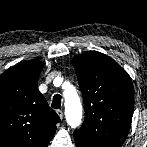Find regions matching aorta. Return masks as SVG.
<instances>
[{
	"label": "aorta",
	"instance_id": "obj_1",
	"mask_svg": "<svg viewBox=\"0 0 147 147\" xmlns=\"http://www.w3.org/2000/svg\"><path fill=\"white\" fill-rule=\"evenodd\" d=\"M65 115L67 123L75 128L82 119V105L74 87L70 86L64 91Z\"/></svg>",
	"mask_w": 147,
	"mask_h": 147
}]
</instances>
